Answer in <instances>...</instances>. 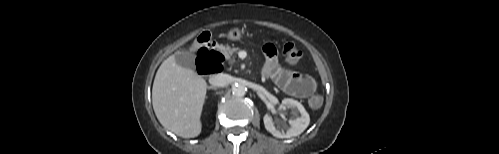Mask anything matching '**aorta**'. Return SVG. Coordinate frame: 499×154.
<instances>
[{"instance_id":"762f6f07","label":"aorta","mask_w":499,"mask_h":154,"mask_svg":"<svg viewBox=\"0 0 499 154\" xmlns=\"http://www.w3.org/2000/svg\"><path fill=\"white\" fill-rule=\"evenodd\" d=\"M232 94L235 97H243L246 94V87L244 85H235L232 88Z\"/></svg>"}]
</instances>
